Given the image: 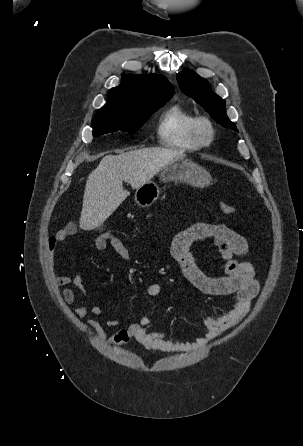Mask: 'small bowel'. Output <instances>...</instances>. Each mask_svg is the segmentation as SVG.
Segmentation results:
<instances>
[{
    "mask_svg": "<svg viewBox=\"0 0 303 446\" xmlns=\"http://www.w3.org/2000/svg\"><path fill=\"white\" fill-rule=\"evenodd\" d=\"M79 230L77 223H70L56 234L49 236L46 251L56 284L60 287L73 284L87 297L88 291L79 273L71 277L60 274L55 269L60 244L71 239ZM206 240L214 241L218 247L224 260L225 275L209 276L198 266L191 249L194 244ZM94 246L98 251L111 248L124 261L132 260L131 252L116 236L106 239L103 234L96 235ZM248 250L246 239L223 224L196 223L176 232L171 239L170 252L184 277L199 291L213 296H229L231 302L223 313L208 316L204 320L206 334L193 342L172 341L166 333L150 330L151 318L147 315L142 316L137 322L116 330L107 341L114 346H121L135 339L151 350L167 353H192L205 348L211 341L220 337L226 330L234 328L244 319L258 293L259 283L255 278L253 264L240 260L247 255ZM162 289L161 283L154 282L147 287L146 293L149 297H157ZM62 295L68 304H74L77 301V293L72 288H65ZM74 313L78 318H84L89 313L101 315L102 309L98 305L90 307L81 305L75 308ZM86 323L99 337L104 336V331L98 322L88 320ZM107 325L117 327L119 322L110 319Z\"/></svg>",
    "mask_w": 303,
    "mask_h": 446,
    "instance_id": "obj_1",
    "label": "small bowel"
}]
</instances>
